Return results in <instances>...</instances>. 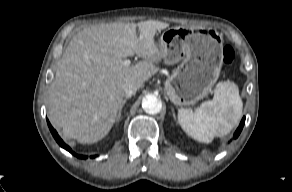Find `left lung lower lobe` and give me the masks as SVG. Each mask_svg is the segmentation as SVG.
<instances>
[{
    "label": "left lung lower lobe",
    "instance_id": "1",
    "mask_svg": "<svg viewBox=\"0 0 292 192\" xmlns=\"http://www.w3.org/2000/svg\"><path fill=\"white\" fill-rule=\"evenodd\" d=\"M244 123H245V117H243L238 129L236 130V132L234 134V138H237L239 136V134H240V132H241L243 126H244Z\"/></svg>",
    "mask_w": 292,
    "mask_h": 192
}]
</instances>
